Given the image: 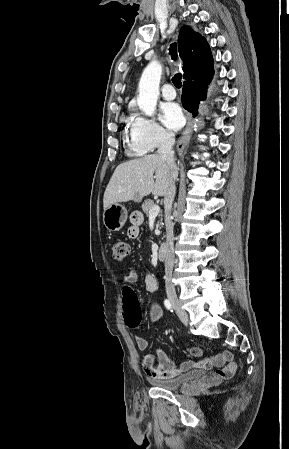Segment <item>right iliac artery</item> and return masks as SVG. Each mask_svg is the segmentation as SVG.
Returning <instances> with one entry per match:
<instances>
[{
    "label": "right iliac artery",
    "instance_id": "right-iliac-artery-1",
    "mask_svg": "<svg viewBox=\"0 0 289 449\" xmlns=\"http://www.w3.org/2000/svg\"><path fill=\"white\" fill-rule=\"evenodd\" d=\"M164 305L169 311L173 312L172 304L170 303V301L168 299L164 300Z\"/></svg>",
    "mask_w": 289,
    "mask_h": 449
}]
</instances>
